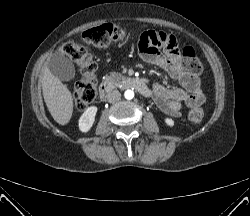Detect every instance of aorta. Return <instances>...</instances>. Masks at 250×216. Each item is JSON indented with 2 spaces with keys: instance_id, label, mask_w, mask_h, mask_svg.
<instances>
[{
  "instance_id": "762f6f07",
  "label": "aorta",
  "mask_w": 250,
  "mask_h": 216,
  "mask_svg": "<svg viewBox=\"0 0 250 216\" xmlns=\"http://www.w3.org/2000/svg\"><path fill=\"white\" fill-rule=\"evenodd\" d=\"M124 96L127 100H131L134 98V92L132 90H126Z\"/></svg>"
}]
</instances>
